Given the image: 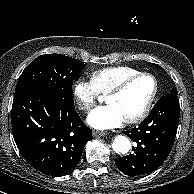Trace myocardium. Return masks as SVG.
Returning <instances> with one entry per match:
<instances>
[{
  "instance_id": "myocardium-1",
  "label": "myocardium",
  "mask_w": 194,
  "mask_h": 194,
  "mask_svg": "<svg viewBox=\"0 0 194 194\" xmlns=\"http://www.w3.org/2000/svg\"><path fill=\"white\" fill-rule=\"evenodd\" d=\"M141 77H149L152 79L153 84H154L153 92H152L146 106L144 107V109L138 115L125 120L126 123H128V124L139 123V122L143 121L149 115V113L153 107V104L156 100V97L158 95V91H159V83H158V80L155 77V75H153L152 73H149V72H138L134 75H131L129 77L124 78L111 91H109L106 94V98L119 95L126 89V87L131 82H133L134 80L141 78Z\"/></svg>"
}]
</instances>
